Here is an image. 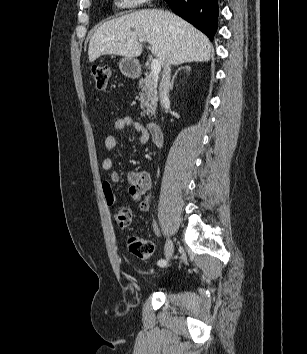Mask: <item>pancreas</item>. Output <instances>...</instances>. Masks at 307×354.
Here are the masks:
<instances>
[{
	"label": "pancreas",
	"instance_id": "pancreas-1",
	"mask_svg": "<svg viewBox=\"0 0 307 354\" xmlns=\"http://www.w3.org/2000/svg\"><path fill=\"white\" fill-rule=\"evenodd\" d=\"M138 87L142 89L140 92L141 116L154 114L157 107V83L152 75H147L139 81Z\"/></svg>",
	"mask_w": 307,
	"mask_h": 354
}]
</instances>
